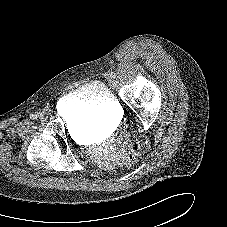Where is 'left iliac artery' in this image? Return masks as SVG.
I'll list each match as a JSON object with an SVG mask.
<instances>
[{"label": "left iliac artery", "instance_id": "left-iliac-artery-1", "mask_svg": "<svg viewBox=\"0 0 227 227\" xmlns=\"http://www.w3.org/2000/svg\"><path fill=\"white\" fill-rule=\"evenodd\" d=\"M109 76H110L111 78H115V77H116V73H114V72H109Z\"/></svg>", "mask_w": 227, "mask_h": 227}]
</instances>
